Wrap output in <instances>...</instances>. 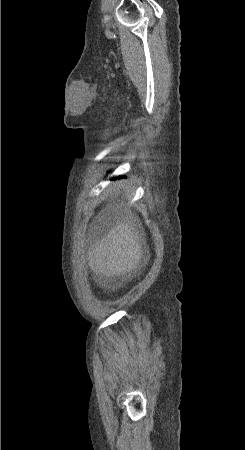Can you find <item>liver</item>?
<instances>
[{
  "instance_id": "1",
  "label": "liver",
  "mask_w": 245,
  "mask_h": 450,
  "mask_svg": "<svg viewBox=\"0 0 245 450\" xmlns=\"http://www.w3.org/2000/svg\"><path fill=\"white\" fill-rule=\"evenodd\" d=\"M117 222L108 234L87 252L90 269L99 275L114 276L137 269L142 258L135 218L123 203L116 205Z\"/></svg>"
}]
</instances>
